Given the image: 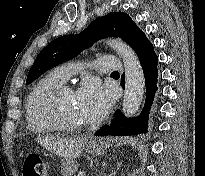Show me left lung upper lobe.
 <instances>
[{
	"label": "left lung upper lobe",
	"instance_id": "5c2ea615",
	"mask_svg": "<svg viewBox=\"0 0 205 176\" xmlns=\"http://www.w3.org/2000/svg\"><path fill=\"white\" fill-rule=\"evenodd\" d=\"M137 28L130 16L124 12H111L96 18L80 34L61 36L42 49L29 70L26 84L47 70L77 56L83 49L100 39L119 37L128 43Z\"/></svg>",
	"mask_w": 205,
	"mask_h": 176
}]
</instances>
